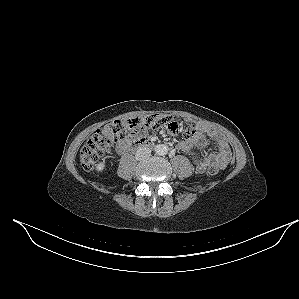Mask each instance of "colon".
Wrapping results in <instances>:
<instances>
[{
  "label": "colon",
  "mask_w": 299,
  "mask_h": 299,
  "mask_svg": "<svg viewBox=\"0 0 299 299\" xmlns=\"http://www.w3.org/2000/svg\"><path fill=\"white\" fill-rule=\"evenodd\" d=\"M165 127L171 133L180 131L179 122L167 114H150L127 120L113 121L99 129L81 148L80 162L84 169H92L103 154L115 143L128 139L148 129H159ZM196 127L189 123L185 129V136L192 138L196 134ZM220 168L216 165L206 169L207 174L215 175Z\"/></svg>",
  "instance_id": "1"
}]
</instances>
